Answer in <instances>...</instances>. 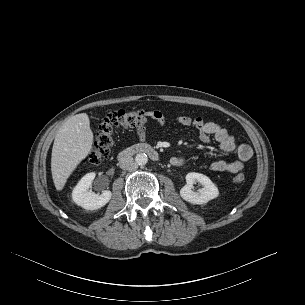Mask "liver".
Segmentation results:
<instances>
[{
	"label": "liver",
	"instance_id": "6515ba94",
	"mask_svg": "<svg viewBox=\"0 0 305 305\" xmlns=\"http://www.w3.org/2000/svg\"><path fill=\"white\" fill-rule=\"evenodd\" d=\"M93 132L89 117L80 113L69 118L58 130L52 148L51 172L57 191L92 149Z\"/></svg>",
	"mask_w": 305,
	"mask_h": 305
}]
</instances>
